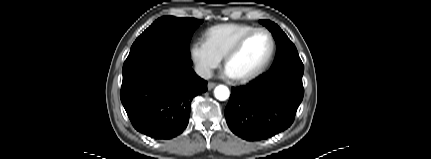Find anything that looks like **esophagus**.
I'll list each match as a JSON object with an SVG mask.
<instances>
[{"mask_svg":"<svg viewBox=\"0 0 431 159\" xmlns=\"http://www.w3.org/2000/svg\"><path fill=\"white\" fill-rule=\"evenodd\" d=\"M215 86H216V83H214V82H209L208 85H207L208 90L213 89Z\"/></svg>","mask_w":431,"mask_h":159,"instance_id":"obj_1","label":"esophagus"}]
</instances>
